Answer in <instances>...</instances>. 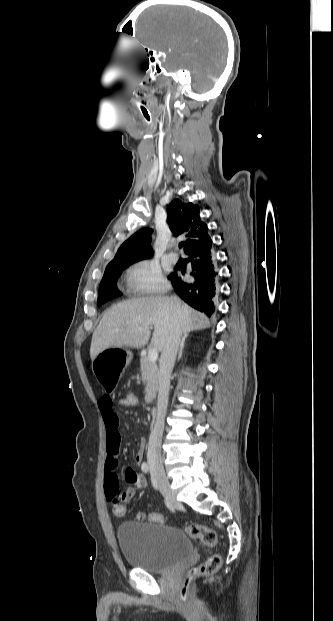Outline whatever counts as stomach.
<instances>
[{
    "label": "stomach",
    "mask_w": 333,
    "mask_h": 621,
    "mask_svg": "<svg viewBox=\"0 0 333 621\" xmlns=\"http://www.w3.org/2000/svg\"><path fill=\"white\" fill-rule=\"evenodd\" d=\"M133 358L131 351L115 348L107 344L99 350L93 360L92 367L97 378L102 381L101 389L106 394H113L118 389L117 379Z\"/></svg>",
    "instance_id": "obj_1"
}]
</instances>
